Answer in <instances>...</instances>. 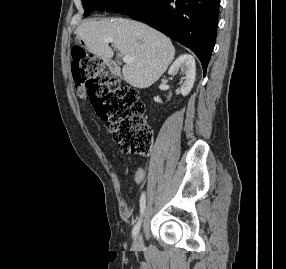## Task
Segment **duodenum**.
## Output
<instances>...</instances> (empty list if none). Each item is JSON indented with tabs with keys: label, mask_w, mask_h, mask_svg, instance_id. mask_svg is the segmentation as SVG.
Here are the masks:
<instances>
[{
	"label": "duodenum",
	"mask_w": 286,
	"mask_h": 269,
	"mask_svg": "<svg viewBox=\"0 0 286 269\" xmlns=\"http://www.w3.org/2000/svg\"><path fill=\"white\" fill-rule=\"evenodd\" d=\"M107 64H108L110 70H111L113 73H115V74L119 73L118 66H117L115 63H113V62H108Z\"/></svg>",
	"instance_id": "duodenum-1"
}]
</instances>
